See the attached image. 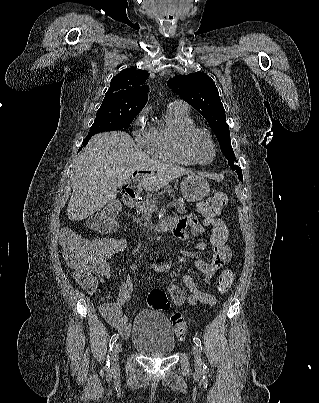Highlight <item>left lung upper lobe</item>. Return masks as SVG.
<instances>
[{
  "instance_id": "left-lung-upper-lobe-1",
  "label": "left lung upper lobe",
  "mask_w": 319,
  "mask_h": 403,
  "mask_svg": "<svg viewBox=\"0 0 319 403\" xmlns=\"http://www.w3.org/2000/svg\"><path fill=\"white\" fill-rule=\"evenodd\" d=\"M167 85L184 101L192 105L209 122L220 148L228 164L242 180V170L230 141L229 126L226 123L225 110L219 97L218 89L213 80L203 73L175 76L168 80Z\"/></svg>"
}]
</instances>
